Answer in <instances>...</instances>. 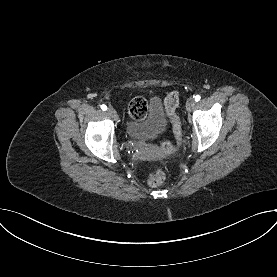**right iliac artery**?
I'll return each instance as SVG.
<instances>
[{"mask_svg":"<svg viewBox=\"0 0 277 277\" xmlns=\"http://www.w3.org/2000/svg\"><path fill=\"white\" fill-rule=\"evenodd\" d=\"M101 109L105 111V110H107V106L103 104V105H101Z\"/></svg>","mask_w":277,"mask_h":277,"instance_id":"1","label":"right iliac artery"}]
</instances>
